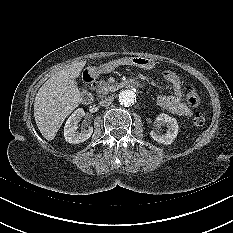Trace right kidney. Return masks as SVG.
<instances>
[{
	"instance_id": "ca27d5eb",
	"label": "right kidney",
	"mask_w": 233,
	"mask_h": 233,
	"mask_svg": "<svg viewBox=\"0 0 233 233\" xmlns=\"http://www.w3.org/2000/svg\"><path fill=\"white\" fill-rule=\"evenodd\" d=\"M84 115V110L78 108L66 121L64 126V137L67 142L72 144L82 143L91 137L93 127L89 126L88 128L81 129V131L77 130V125Z\"/></svg>"
}]
</instances>
